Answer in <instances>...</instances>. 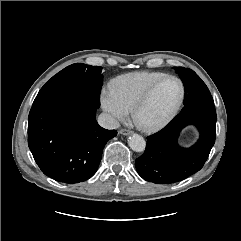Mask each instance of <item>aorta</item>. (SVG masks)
Here are the masks:
<instances>
[{"label":"aorta","mask_w":241,"mask_h":241,"mask_svg":"<svg viewBox=\"0 0 241 241\" xmlns=\"http://www.w3.org/2000/svg\"><path fill=\"white\" fill-rule=\"evenodd\" d=\"M129 147L135 152H143L146 147L145 139L139 134H133L128 140Z\"/></svg>","instance_id":"762f6f07"}]
</instances>
